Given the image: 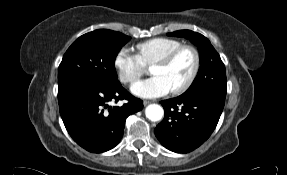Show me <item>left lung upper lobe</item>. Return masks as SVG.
I'll return each mask as SVG.
<instances>
[{"label":"left lung upper lobe","instance_id":"left-lung-upper-lobe-1","mask_svg":"<svg viewBox=\"0 0 287 175\" xmlns=\"http://www.w3.org/2000/svg\"><path fill=\"white\" fill-rule=\"evenodd\" d=\"M168 35L189 39L199 49L200 68L198 74L192 85L183 94L204 93L225 99L227 93L225 66L210 41L202 34L190 30H180L168 33Z\"/></svg>","mask_w":287,"mask_h":175}]
</instances>
